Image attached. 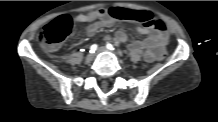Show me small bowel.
<instances>
[{
  "instance_id": "c3829d8e",
  "label": "small bowel",
  "mask_w": 218,
  "mask_h": 122,
  "mask_svg": "<svg viewBox=\"0 0 218 122\" xmlns=\"http://www.w3.org/2000/svg\"><path fill=\"white\" fill-rule=\"evenodd\" d=\"M118 8H99L87 13L79 14L74 18L76 23H89L86 33L88 36H94L101 27H111L115 21V17L111 15V9ZM137 31L141 35H146L143 40H138L130 45L134 51H142L144 59L147 62L158 60V53L166 49L169 41V35L165 26L162 28H154L147 26H139ZM109 39V37H107ZM114 39L118 42H127L128 36L123 30H118Z\"/></svg>"
}]
</instances>
